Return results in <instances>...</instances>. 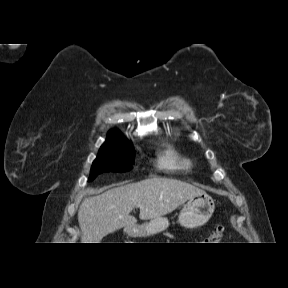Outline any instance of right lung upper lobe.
<instances>
[{
	"instance_id": "1",
	"label": "right lung upper lobe",
	"mask_w": 288,
	"mask_h": 288,
	"mask_svg": "<svg viewBox=\"0 0 288 288\" xmlns=\"http://www.w3.org/2000/svg\"><path fill=\"white\" fill-rule=\"evenodd\" d=\"M114 139H122L127 141L118 131H110L108 133V137L106 141L114 140Z\"/></svg>"
}]
</instances>
